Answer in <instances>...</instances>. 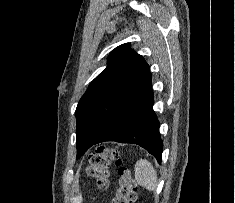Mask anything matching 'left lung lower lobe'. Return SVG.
I'll use <instances>...</instances> for the list:
<instances>
[{
	"label": "left lung lower lobe",
	"mask_w": 235,
	"mask_h": 203,
	"mask_svg": "<svg viewBox=\"0 0 235 203\" xmlns=\"http://www.w3.org/2000/svg\"><path fill=\"white\" fill-rule=\"evenodd\" d=\"M153 103L154 95L149 72L99 136L94 137L91 132L82 134L87 139L85 148L105 141L131 143L146 149L161 163L163 143Z\"/></svg>",
	"instance_id": "left-lung-lower-lobe-1"
}]
</instances>
